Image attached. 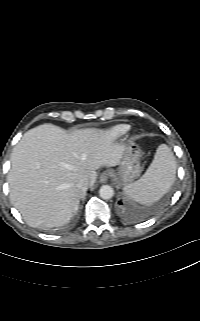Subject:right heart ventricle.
I'll return each mask as SVG.
<instances>
[{
  "label": "right heart ventricle",
  "instance_id": "e07e8e85",
  "mask_svg": "<svg viewBox=\"0 0 200 321\" xmlns=\"http://www.w3.org/2000/svg\"><path fill=\"white\" fill-rule=\"evenodd\" d=\"M130 129L129 124H116L111 127L106 128L103 132L102 135L110 140H115L118 139L122 136H124Z\"/></svg>",
  "mask_w": 200,
  "mask_h": 321
}]
</instances>
